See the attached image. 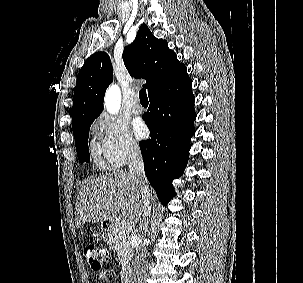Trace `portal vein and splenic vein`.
Here are the masks:
<instances>
[{"mask_svg":"<svg viewBox=\"0 0 303 283\" xmlns=\"http://www.w3.org/2000/svg\"><path fill=\"white\" fill-rule=\"evenodd\" d=\"M123 226H129L126 222L122 223ZM130 227V226H129Z\"/></svg>","mask_w":303,"mask_h":283,"instance_id":"18ae733b","label":"portal vein and splenic vein"}]
</instances>
